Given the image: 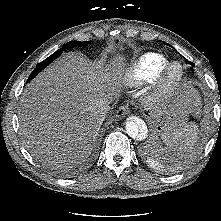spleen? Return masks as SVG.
Segmentation results:
<instances>
[{"label":"spleen","instance_id":"1","mask_svg":"<svg viewBox=\"0 0 221 221\" xmlns=\"http://www.w3.org/2000/svg\"><path fill=\"white\" fill-rule=\"evenodd\" d=\"M194 124H185L177 129L166 131L162 134L164 143L172 149L179 151L191 150L197 142Z\"/></svg>","mask_w":221,"mask_h":221}]
</instances>
